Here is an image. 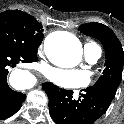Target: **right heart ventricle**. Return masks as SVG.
<instances>
[{
  "label": "right heart ventricle",
  "instance_id": "obj_1",
  "mask_svg": "<svg viewBox=\"0 0 124 124\" xmlns=\"http://www.w3.org/2000/svg\"><path fill=\"white\" fill-rule=\"evenodd\" d=\"M96 47L98 46L95 43L90 42V41L85 44V48H88V49H94Z\"/></svg>",
  "mask_w": 124,
  "mask_h": 124
}]
</instances>
